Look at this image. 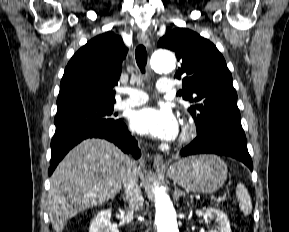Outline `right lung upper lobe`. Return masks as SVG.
<instances>
[{
	"label": "right lung upper lobe",
	"instance_id": "right-lung-upper-lobe-1",
	"mask_svg": "<svg viewBox=\"0 0 289 232\" xmlns=\"http://www.w3.org/2000/svg\"><path fill=\"white\" fill-rule=\"evenodd\" d=\"M128 49L121 36L108 31L80 48L65 68L57 108L80 104L115 103L122 61Z\"/></svg>",
	"mask_w": 289,
	"mask_h": 232
}]
</instances>
